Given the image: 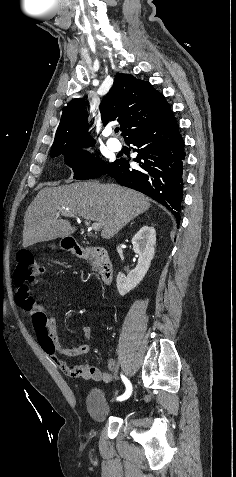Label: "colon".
<instances>
[{
  "label": "colon",
  "mask_w": 236,
  "mask_h": 477,
  "mask_svg": "<svg viewBox=\"0 0 236 477\" xmlns=\"http://www.w3.org/2000/svg\"><path fill=\"white\" fill-rule=\"evenodd\" d=\"M42 272L43 269L33 252L21 251L17 254L14 281L17 287V304L21 308L26 307L27 300L32 297L30 291L38 282Z\"/></svg>",
  "instance_id": "1"
}]
</instances>
